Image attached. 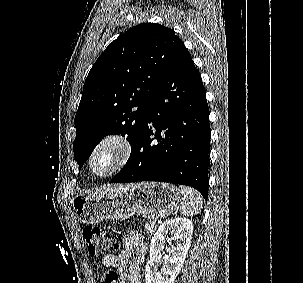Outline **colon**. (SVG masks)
<instances>
[{"label":"colon","mask_w":303,"mask_h":283,"mask_svg":"<svg viewBox=\"0 0 303 283\" xmlns=\"http://www.w3.org/2000/svg\"><path fill=\"white\" fill-rule=\"evenodd\" d=\"M84 239L88 251L92 255H101L117 246V243L108 231L93 225L85 228Z\"/></svg>","instance_id":"obj_1"}]
</instances>
